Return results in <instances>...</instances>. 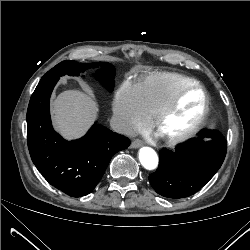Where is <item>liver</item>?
Segmentation results:
<instances>
[{
    "label": "liver",
    "mask_w": 250,
    "mask_h": 250,
    "mask_svg": "<svg viewBox=\"0 0 250 250\" xmlns=\"http://www.w3.org/2000/svg\"><path fill=\"white\" fill-rule=\"evenodd\" d=\"M51 108L56 129L67 138L83 135L98 111L93 98L77 90L60 93L52 102Z\"/></svg>",
    "instance_id": "liver-1"
}]
</instances>
